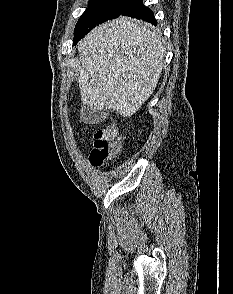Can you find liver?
I'll use <instances>...</instances> for the list:
<instances>
[{"instance_id": "liver-1", "label": "liver", "mask_w": 233, "mask_h": 294, "mask_svg": "<svg viewBox=\"0 0 233 294\" xmlns=\"http://www.w3.org/2000/svg\"><path fill=\"white\" fill-rule=\"evenodd\" d=\"M164 50L158 31L128 17L93 29L78 44L83 105L93 111L116 110L131 117L157 86L164 68Z\"/></svg>"}]
</instances>
